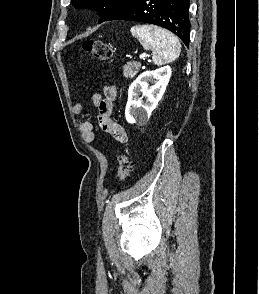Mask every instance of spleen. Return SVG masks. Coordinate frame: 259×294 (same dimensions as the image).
Wrapping results in <instances>:
<instances>
[{"label":"spleen","mask_w":259,"mask_h":294,"mask_svg":"<svg viewBox=\"0 0 259 294\" xmlns=\"http://www.w3.org/2000/svg\"><path fill=\"white\" fill-rule=\"evenodd\" d=\"M130 32L145 50H152V60L158 66L173 62L180 55L178 38L165 29L155 25H135Z\"/></svg>","instance_id":"spleen-1"}]
</instances>
